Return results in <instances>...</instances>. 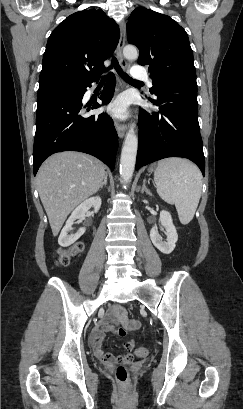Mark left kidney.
<instances>
[{"instance_id": "5707ae66", "label": "left kidney", "mask_w": 243, "mask_h": 409, "mask_svg": "<svg viewBox=\"0 0 243 409\" xmlns=\"http://www.w3.org/2000/svg\"><path fill=\"white\" fill-rule=\"evenodd\" d=\"M160 222L166 232V241H163L159 237L156 226L150 230V238L158 250L164 254H170L174 250L178 240V234L173 224L171 214L166 210H162L160 212Z\"/></svg>"}]
</instances>
